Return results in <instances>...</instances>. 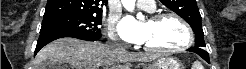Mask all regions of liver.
<instances>
[{"label": "liver", "instance_id": "1", "mask_svg": "<svg viewBox=\"0 0 246 69\" xmlns=\"http://www.w3.org/2000/svg\"><path fill=\"white\" fill-rule=\"evenodd\" d=\"M156 56L129 53L124 49L99 42H84L74 38H61L43 47L36 55L34 69H57L68 63L71 69H126L115 63L149 62ZM58 65V66H56ZM63 69V68H59Z\"/></svg>", "mask_w": 246, "mask_h": 69}]
</instances>
